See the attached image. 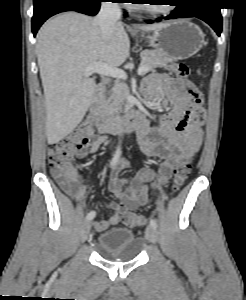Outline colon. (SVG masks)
I'll return each mask as SVG.
<instances>
[{
  "label": "colon",
  "instance_id": "colon-1",
  "mask_svg": "<svg viewBox=\"0 0 246 300\" xmlns=\"http://www.w3.org/2000/svg\"><path fill=\"white\" fill-rule=\"evenodd\" d=\"M176 76L187 81L189 76V68L184 63H174L171 66ZM188 84V93L192 99L194 113L197 116L201 115L202 97L198 87L192 82ZM94 133L92 121L84 120L75 130L64 140L51 144L48 148L47 158L48 165L54 175L72 178L76 175V170L72 165V160L82 153L88 144L90 137ZM191 172L189 162L181 163L174 171L171 190L178 191L185 183ZM122 221L129 227H141L145 224V219L136 213H126L122 216Z\"/></svg>",
  "mask_w": 246,
  "mask_h": 300
}]
</instances>
